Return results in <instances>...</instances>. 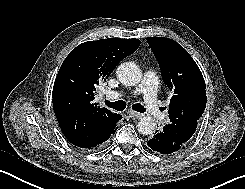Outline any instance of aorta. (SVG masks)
Masks as SVG:
<instances>
[{"label": "aorta", "mask_w": 245, "mask_h": 189, "mask_svg": "<svg viewBox=\"0 0 245 189\" xmlns=\"http://www.w3.org/2000/svg\"><path fill=\"white\" fill-rule=\"evenodd\" d=\"M116 75L122 84L134 86L140 82L142 71L135 63L124 62L117 68ZM136 127L139 133L150 135L155 129V121L151 116L144 115L139 119Z\"/></svg>", "instance_id": "obj_1"}]
</instances>
